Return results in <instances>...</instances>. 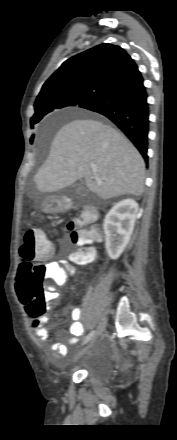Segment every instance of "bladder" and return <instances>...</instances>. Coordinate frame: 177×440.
<instances>
[{
    "label": "bladder",
    "instance_id": "bladder-1",
    "mask_svg": "<svg viewBox=\"0 0 177 440\" xmlns=\"http://www.w3.org/2000/svg\"><path fill=\"white\" fill-rule=\"evenodd\" d=\"M83 370L88 377L97 383H104L113 373V363L110 359L90 354L84 362Z\"/></svg>",
    "mask_w": 177,
    "mask_h": 440
}]
</instances>
